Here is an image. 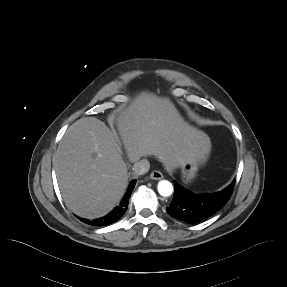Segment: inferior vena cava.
<instances>
[{
    "label": "inferior vena cava",
    "mask_w": 287,
    "mask_h": 287,
    "mask_svg": "<svg viewBox=\"0 0 287 287\" xmlns=\"http://www.w3.org/2000/svg\"><path fill=\"white\" fill-rule=\"evenodd\" d=\"M150 169V163L146 159H142L133 165V171L136 175L146 174Z\"/></svg>",
    "instance_id": "602c4592"
}]
</instances>
